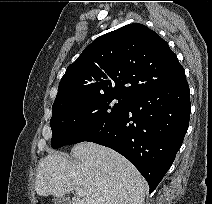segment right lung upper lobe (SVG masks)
<instances>
[{
  "mask_svg": "<svg viewBox=\"0 0 212 204\" xmlns=\"http://www.w3.org/2000/svg\"><path fill=\"white\" fill-rule=\"evenodd\" d=\"M184 74L166 41L134 23L98 37L62 77L53 109L105 95L129 97Z\"/></svg>",
  "mask_w": 212,
  "mask_h": 204,
  "instance_id": "1",
  "label": "right lung upper lobe"
}]
</instances>
